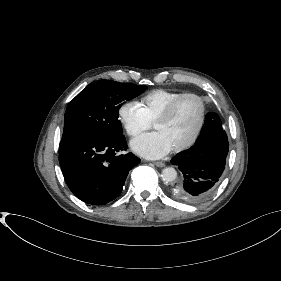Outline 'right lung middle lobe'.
<instances>
[{
    "instance_id": "obj_1",
    "label": "right lung middle lobe",
    "mask_w": 281,
    "mask_h": 281,
    "mask_svg": "<svg viewBox=\"0 0 281 281\" xmlns=\"http://www.w3.org/2000/svg\"><path fill=\"white\" fill-rule=\"evenodd\" d=\"M147 89L130 83L99 80L89 84L67 106L59 148L84 139L123 135L118 110Z\"/></svg>"
}]
</instances>
